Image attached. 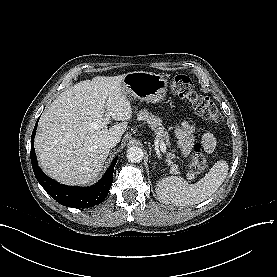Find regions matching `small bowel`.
Instances as JSON below:
<instances>
[{"mask_svg": "<svg viewBox=\"0 0 277 277\" xmlns=\"http://www.w3.org/2000/svg\"><path fill=\"white\" fill-rule=\"evenodd\" d=\"M175 134L178 139V146L183 155H189L194 146V135L196 134V127L194 124L187 121L180 122L175 127ZM200 146L205 153H211L216 146V139L211 133H203L200 141L195 144Z\"/></svg>", "mask_w": 277, "mask_h": 277, "instance_id": "small-bowel-1", "label": "small bowel"}]
</instances>
